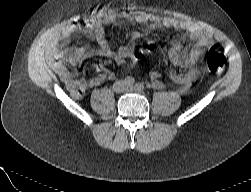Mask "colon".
Masks as SVG:
<instances>
[{
	"label": "colon",
	"mask_w": 251,
	"mask_h": 192,
	"mask_svg": "<svg viewBox=\"0 0 251 192\" xmlns=\"http://www.w3.org/2000/svg\"><path fill=\"white\" fill-rule=\"evenodd\" d=\"M141 49L135 48V53L139 54ZM226 60L222 54L216 51H209L206 57V69L213 75H219L225 68Z\"/></svg>",
	"instance_id": "5ec220e1"
}]
</instances>
